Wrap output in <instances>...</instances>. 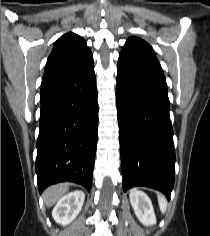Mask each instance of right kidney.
Segmentation results:
<instances>
[{
	"label": "right kidney",
	"mask_w": 210,
	"mask_h": 236,
	"mask_svg": "<svg viewBox=\"0 0 210 236\" xmlns=\"http://www.w3.org/2000/svg\"><path fill=\"white\" fill-rule=\"evenodd\" d=\"M84 200L85 194L79 190L63 196L52 211L53 219L63 226L71 223L81 211Z\"/></svg>",
	"instance_id": "1"
}]
</instances>
